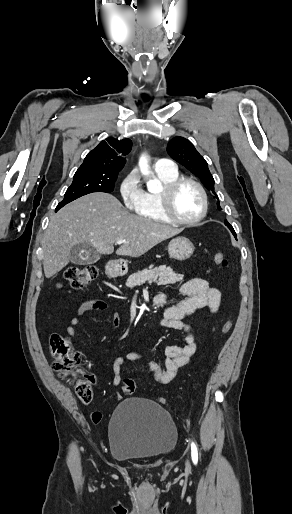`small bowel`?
Segmentation results:
<instances>
[{"instance_id":"small-bowel-1","label":"small bowel","mask_w":292,"mask_h":514,"mask_svg":"<svg viewBox=\"0 0 292 514\" xmlns=\"http://www.w3.org/2000/svg\"><path fill=\"white\" fill-rule=\"evenodd\" d=\"M180 293L185 295L186 299L175 305L164 306L160 326L186 333V344H169L165 347L166 358L164 367L155 361L145 362L152 379L160 385L171 383L176 377L178 370L187 366L196 352V342L192 327L185 321V318L201 308H207L211 314H216L221 305L219 290L201 278H192L184 282L180 287ZM107 309L108 304L102 299H91L83 302L78 307L76 316L70 320V324L66 327V334L72 338L77 337L79 335L77 327L81 324L84 314L88 312H104ZM119 323L120 317L116 315L113 324L118 326ZM128 359L135 360L138 359V356L131 354L128 356ZM124 363L125 359L123 357H116L113 361L114 377L112 383L115 386L120 385L122 382L121 372ZM113 396L118 398L120 402L125 400V397L119 391H115Z\"/></svg>"}]
</instances>
